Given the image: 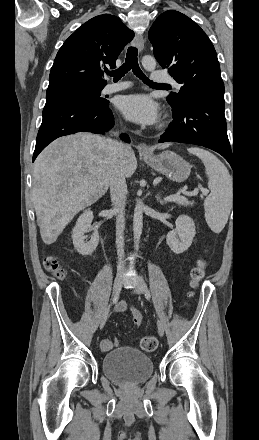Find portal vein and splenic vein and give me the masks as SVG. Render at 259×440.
<instances>
[{"label": "portal vein and splenic vein", "instance_id": "18ae733b", "mask_svg": "<svg viewBox=\"0 0 259 440\" xmlns=\"http://www.w3.org/2000/svg\"><path fill=\"white\" fill-rule=\"evenodd\" d=\"M201 191H202V195H204V196H206L209 193V191L204 188H201ZM198 192H199V189L195 188L192 192H183V194L185 196H195L198 194ZM185 196L180 195V194L170 195L166 198V201H170V202H172V201L173 202H175V201H178V202L188 201V199Z\"/></svg>", "mask_w": 259, "mask_h": 440}]
</instances>
